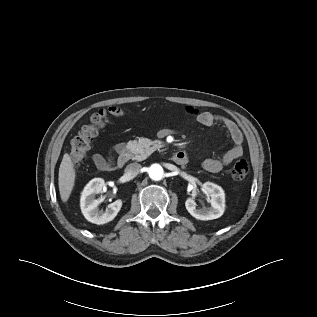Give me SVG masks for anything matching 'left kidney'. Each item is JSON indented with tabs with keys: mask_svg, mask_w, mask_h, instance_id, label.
Masks as SVG:
<instances>
[{
	"mask_svg": "<svg viewBox=\"0 0 317 317\" xmlns=\"http://www.w3.org/2000/svg\"><path fill=\"white\" fill-rule=\"evenodd\" d=\"M202 191L210 196V208L196 207L193 198H188L185 202L187 211L198 220H212L221 217L225 210V193L223 189L211 182H206L202 186Z\"/></svg>",
	"mask_w": 317,
	"mask_h": 317,
	"instance_id": "5707ae66",
	"label": "left kidney"
}]
</instances>
